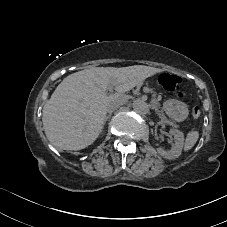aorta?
I'll list each match as a JSON object with an SVG mask.
<instances>
[{
	"instance_id": "762f6f07",
	"label": "aorta",
	"mask_w": 227,
	"mask_h": 227,
	"mask_svg": "<svg viewBox=\"0 0 227 227\" xmlns=\"http://www.w3.org/2000/svg\"><path fill=\"white\" fill-rule=\"evenodd\" d=\"M133 110L140 115L147 114L149 111V104L144 100L137 99L132 103Z\"/></svg>"
}]
</instances>
